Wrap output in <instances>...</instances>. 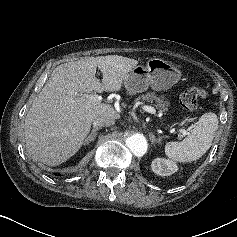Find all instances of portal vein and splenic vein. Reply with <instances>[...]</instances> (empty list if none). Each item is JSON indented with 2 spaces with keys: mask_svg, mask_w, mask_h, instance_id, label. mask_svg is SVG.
Returning a JSON list of instances; mask_svg holds the SVG:
<instances>
[{
  "mask_svg": "<svg viewBox=\"0 0 237 237\" xmlns=\"http://www.w3.org/2000/svg\"><path fill=\"white\" fill-rule=\"evenodd\" d=\"M88 98L92 101H98V102H101L102 98L101 96L97 95V94H91V95H88ZM142 109L146 112H149V113H152L154 114L156 112V110L151 107V106H148V105H144L142 106ZM179 132L183 135V136H186L189 134V132L187 130H183V129H180Z\"/></svg>",
  "mask_w": 237,
  "mask_h": 237,
  "instance_id": "obj_1",
  "label": "portal vein and splenic vein"
}]
</instances>
